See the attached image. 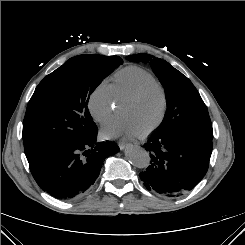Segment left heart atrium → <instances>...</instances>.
I'll use <instances>...</instances> for the list:
<instances>
[{"mask_svg":"<svg viewBox=\"0 0 245 245\" xmlns=\"http://www.w3.org/2000/svg\"><path fill=\"white\" fill-rule=\"evenodd\" d=\"M102 134L106 137L123 135L127 138L140 136V132L134 128L126 119L120 122H112L105 125Z\"/></svg>","mask_w":245,"mask_h":245,"instance_id":"obj_1","label":"left heart atrium"}]
</instances>
